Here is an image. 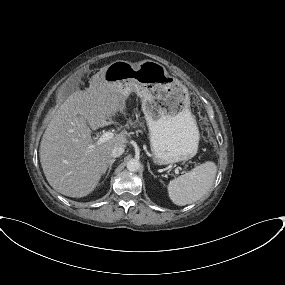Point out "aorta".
Returning <instances> with one entry per match:
<instances>
[{
	"instance_id": "1",
	"label": "aorta",
	"mask_w": 285,
	"mask_h": 285,
	"mask_svg": "<svg viewBox=\"0 0 285 285\" xmlns=\"http://www.w3.org/2000/svg\"><path fill=\"white\" fill-rule=\"evenodd\" d=\"M126 166L130 172H137L140 169L141 164L137 159H130Z\"/></svg>"
}]
</instances>
